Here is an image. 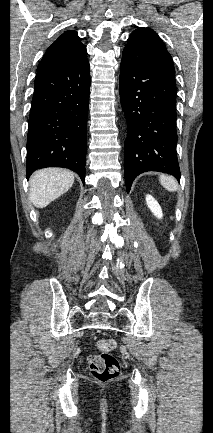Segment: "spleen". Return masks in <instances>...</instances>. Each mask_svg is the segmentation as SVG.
<instances>
[{"label": "spleen", "mask_w": 213, "mask_h": 433, "mask_svg": "<svg viewBox=\"0 0 213 433\" xmlns=\"http://www.w3.org/2000/svg\"><path fill=\"white\" fill-rule=\"evenodd\" d=\"M159 180L161 185L168 191H176L178 189L177 182L171 176L161 175Z\"/></svg>", "instance_id": "obj_1"}]
</instances>
